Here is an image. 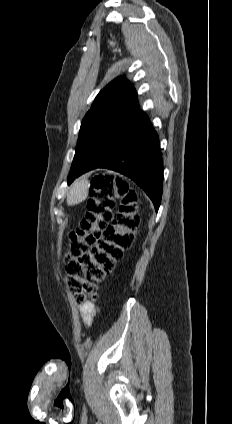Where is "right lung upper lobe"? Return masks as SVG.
I'll return each mask as SVG.
<instances>
[{"label": "right lung upper lobe", "instance_id": "cb5924a9", "mask_svg": "<svg viewBox=\"0 0 232 424\" xmlns=\"http://www.w3.org/2000/svg\"><path fill=\"white\" fill-rule=\"evenodd\" d=\"M137 93L125 78H117L99 92L91 109L104 107H138ZM90 109V110H91Z\"/></svg>", "mask_w": 232, "mask_h": 424}]
</instances>
